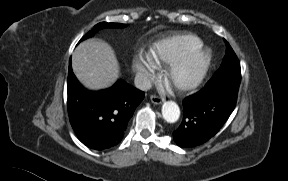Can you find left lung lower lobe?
Instances as JSON below:
<instances>
[{"label": "left lung lower lobe", "instance_id": "1", "mask_svg": "<svg viewBox=\"0 0 288 181\" xmlns=\"http://www.w3.org/2000/svg\"><path fill=\"white\" fill-rule=\"evenodd\" d=\"M238 92L206 86L184 99L183 121L173 132L180 147H194L212 138L233 112Z\"/></svg>", "mask_w": 288, "mask_h": 181}]
</instances>
